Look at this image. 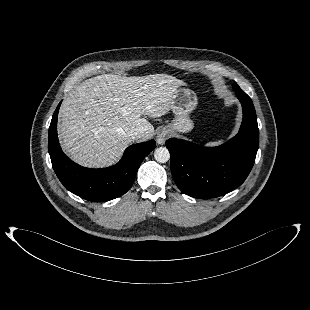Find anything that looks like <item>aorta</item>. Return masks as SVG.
I'll return each instance as SVG.
<instances>
[{
    "label": "aorta",
    "instance_id": "obj_1",
    "mask_svg": "<svg viewBox=\"0 0 310 310\" xmlns=\"http://www.w3.org/2000/svg\"><path fill=\"white\" fill-rule=\"evenodd\" d=\"M154 158L159 163H166L170 159L169 150L166 147L156 148L154 151Z\"/></svg>",
    "mask_w": 310,
    "mask_h": 310
}]
</instances>
